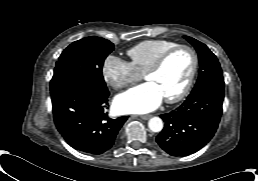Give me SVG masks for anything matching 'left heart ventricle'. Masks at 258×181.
<instances>
[{"label":"left heart ventricle","instance_id":"left-heart-ventricle-1","mask_svg":"<svg viewBox=\"0 0 258 181\" xmlns=\"http://www.w3.org/2000/svg\"><path fill=\"white\" fill-rule=\"evenodd\" d=\"M192 67V58L187 50H179L168 58L162 69L145 79L160 89L164 98L177 95L185 86Z\"/></svg>","mask_w":258,"mask_h":181}]
</instances>
